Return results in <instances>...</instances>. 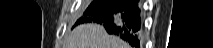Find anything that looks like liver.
I'll list each match as a JSON object with an SVG mask.
<instances>
[{
  "mask_svg": "<svg viewBox=\"0 0 213 48\" xmlns=\"http://www.w3.org/2000/svg\"><path fill=\"white\" fill-rule=\"evenodd\" d=\"M65 48H129L116 36L95 23L80 24L69 34Z\"/></svg>",
  "mask_w": 213,
  "mask_h": 48,
  "instance_id": "6515ba94",
  "label": "liver"
}]
</instances>
